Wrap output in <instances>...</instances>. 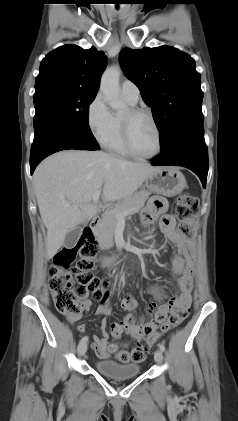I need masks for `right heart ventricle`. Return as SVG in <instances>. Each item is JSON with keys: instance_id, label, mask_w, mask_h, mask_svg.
<instances>
[{"instance_id": "obj_1", "label": "right heart ventricle", "mask_w": 238, "mask_h": 421, "mask_svg": "<svg viewBox=\"0 0 238 421\" xmlns=\"http://www.w3.org/2000/svg\"><path fill=\"white\" fill-rule=\"evenodd\" d=\"M103 145L106 149L118 155L126 156V157L131 156V154L128 152L123 142L120 116L114 115L113 132L111 136L108 138V140L103 143Z\"/></svg>"}]
</instances>
